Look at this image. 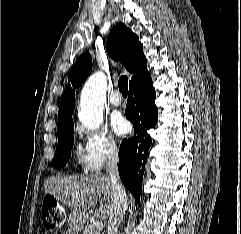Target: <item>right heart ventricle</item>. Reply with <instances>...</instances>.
<instances>
[{
	"label": "right heart ventricle",
	"mask_w": 241,
	"mask_h": 234,
	"mask_svg": "<svg viewBox=\"0 0 241 234\" xmlns=\"http://www.w3.org/2000/svg\"><path fill=\"white\" fill-rule=\"evenodd\" d=\"M77 159L80 163H84L83 152L80 149L77 150Z\"/></svg>",
	"instance_id": "obj_1"
}]
</instances>
